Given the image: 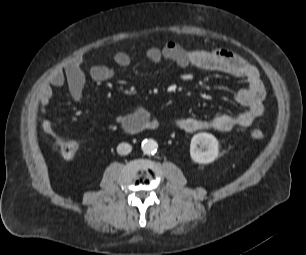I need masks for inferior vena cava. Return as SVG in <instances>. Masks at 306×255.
Wrapping results in <instances>:
<instances>
[{
	"label": "inferior vena cava",
	"instance_id": "1",
	"mask_svg": "<svg viewBox=\"0 0 306 255\" xmlns=\"http://www.w3.org/2000/svg\"><path fill=\"white\" fill-rule=\"evenodd\" d=\"M131 150H132V146L128 143H120L117 146V152L120 155H127L131 152Z\"/></svg>",
	"mask_w": 306,
	"mask_h": 255
}]
</instances>
